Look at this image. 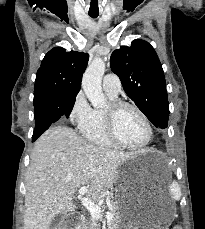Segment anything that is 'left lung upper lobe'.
Instances as JSON below:
<instances>
[{"label": "left lung upper lobe", "instance_id": "1", "mask_svg": "<svg viewBox=\"0 0 205 229\" xmlns=\"http://www.w3.org/2000/svg\"><path fill=\"white\" fill-rule=\"evenodd\" d=\"M110 65L137 107L156 127L166 128L169 104L165 76L151 44L136 39L131 46H121L112 53Z\"/></svg>", "mask_w": 205, "mask_h": 229}]
</instances>
